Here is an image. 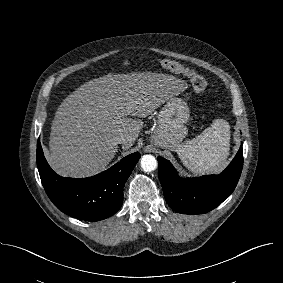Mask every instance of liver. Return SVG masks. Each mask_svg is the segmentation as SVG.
<instances>
[{
  "label": "liver",
  "mask_w": 283,
  "mask_h": 283,
  "mask_svg": "<svg viewBox=\"0 0 283 283\" xmlns=\"http://www.w3.org/2000/svg\"><path fill=\"white\" fill-rule=\"evenodd\" d=\"M186 88L174 76L153 72L108 74L81 85L55 113L49 141L52 169L64 177L103 170L118 151L116 137L125 136L123 149H129L141 132L142 118Z\"/></svg>",
  "instance_id": "6515ba94"
}]
</instances>
